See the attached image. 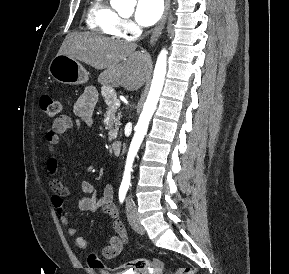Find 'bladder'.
I'll list each match as a JSON object with an SVG mask.
<instances>
[{"label": "bladder", "instance_id": "obj_1", "mask_svg": "<svg viewBox=\"0 0 289 274\" xmlns=\"http://www.w3.org/2000/svg\"><path fill=\"white\" fill-rule=\"evenodd\" d=\"M117 274H147V273H145V271H126Z\"/></svg>", "mask_w": 289, "mask_h": 274}]
</instances>
